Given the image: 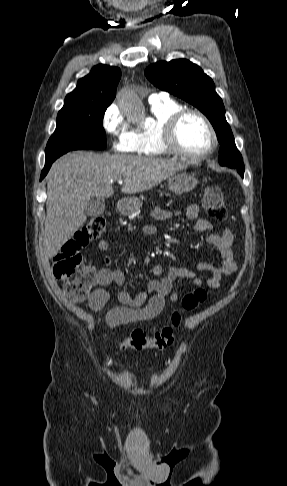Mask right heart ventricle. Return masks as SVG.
<instances>
[{
  "mask_svg": "<svg viewBox=\"0 0 287 486\" xmlns=\"http://www.w3.org/2000/svg\"><path fill=\"white\" fill-rule=\"evenodd\" d=\"M182 106L172 99H162L150 102L151 113L155 119L153 125L134 131L136 141L135 153L148 157H160L168 155L161 141V128L166 120Z\"/></svg>",
  "mask_w": 287,
  "mask_h": 486,
  "instance_id": "right-heart-ventricle-1",
  "label": "right heart ventricle"
}]
</instances>
